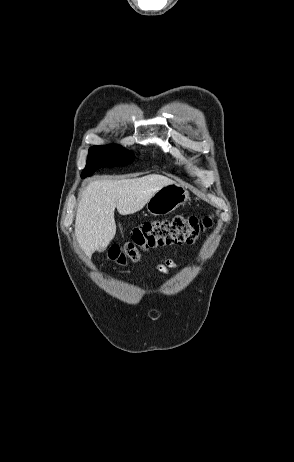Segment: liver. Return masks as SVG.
Listing matches in <instances>:
<instances>
[{
    "label": "liver",
    "instance_id": "1",
    "mask_svg": "<svg viewBox=\"0 0 294 462\" xmlns=\"http://www.w3.org/2000/svg\"><path fill=\"white\" fill-rule=\"evenodd\" d=\"M170 184L175 182L158 174L90 182L83 191L75 219V235L85 254L102 252L113 240L116 234L115 208L121 215L136 213L155 192Z\"/></svg>",
    "mask_w": 294,
    "mask_h": 462
}]
</instances>
